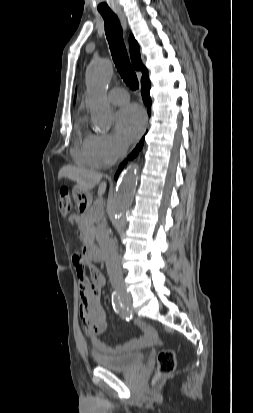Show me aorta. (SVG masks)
<instances>
[{"label":"aorta","instance_id":"obj_1","mask_svg":"<svg viewBox=\"0 0 253 413\" xmlns=\"http://www.w3.org/2000/svg\"><path fill=\"white\" fill-rule=\"evenodd\" d=\"M112 71V63L107 59L93 61L86 71V104L94 126L101 131L109 130L113 121V111L106 100ZM136 183V167L132 166L121 174L116 192L109 204V213L113 219L120 218L131 205Z\"/></svg>","mask_w":253,"mask_h":413}]
</instances>
